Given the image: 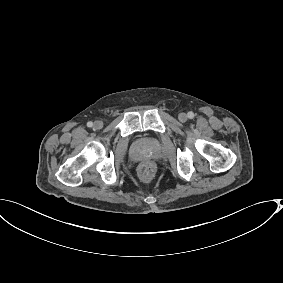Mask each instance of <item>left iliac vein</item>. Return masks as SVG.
<instances>
[{"mask_svg": "<svg viewBox=\"0 0 283 283\" xmlns=\"http://www.w3.org/2000/svg\"><path fill=\"white\" fill-rule=\"evenodd\" d=\"M178 119H179L181 122H186L187 119H188V116H187V114H185V113H180V114L178 115Z\"/></svg>", "mask_w": 283, "mask_h": 283, "instance_id": "1", "label": "left iliac vein"}]
</instances>
